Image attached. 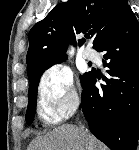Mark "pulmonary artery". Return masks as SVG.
Here are the masks:
<instances>
[{"label": "pulmonary artery", "instance_id": "1", "mask_svg": "<svg viewBox=\"0 0 139 150\" xmlns=\"http://www.w3.org/2000/svg\"><path fill=\"white\" fill-rule=\"evenodd\" d=\"M83 57L87 60H94L96 59V53L89 48H86L83 53H82Z\"/></svg>", "mask_w": 139, "mask_h": 150}]
</instances>
